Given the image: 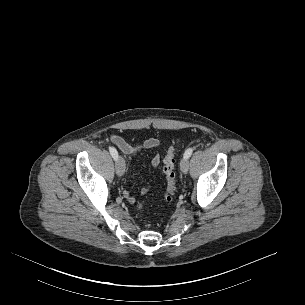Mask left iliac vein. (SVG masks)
<instances>
[{
    "instance_id": "1",
    "label": "left iliac vein",
    "mask_w": 305,
    "mask_h": 305,
    "mask_svg": "<svg viewBox=\"0 0 305 305\" xmlns=\"http://www.w3.org/2000/svg\"><path fill=\"white\" fill-rule=\"evenodd\" d=\"M180 169L181 171L186 174L188 172L189 169V163H188V159L187 158H183L180 162Z\"/></svg>"
}]
</instances>
